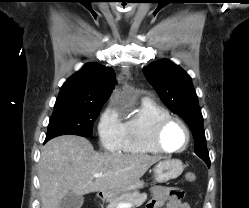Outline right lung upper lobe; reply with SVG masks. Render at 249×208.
<instances>
[{"mask_svg": "<svg viewBox=\"0 0 249 208\" xmlns=\"http://www.w3.org/2000/svg\"><path fill=\"white\" fill-rule=\"evenodd\" d=\"M112 68L88 63L63 84L55 106L66 104H104L114 88Z\"/></svg>", "mask_w": 249, "mask_h": 208, "instance_id": "cb5924a9", "label": "right lung upper lobe"}]
</instances>
